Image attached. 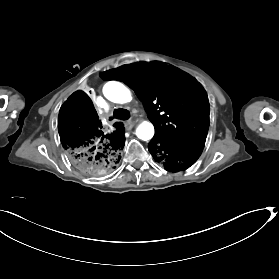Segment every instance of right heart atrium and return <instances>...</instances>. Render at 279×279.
<instances>
[{"instance_id":"obj_1","label":"right heart atrium","mask_w":279,"mask_h":279,"mask_svg":"<svg viewBox=\"0 0 279 279\" xmlns=\"http://www.w3.org/2000/svg\"><path fill=\"white\" fill-rule=\"evenodd\" d=\"M142 132H143V133H146V132H147V129H146V128H145V129H143V130H142Z\"/></svg>"}]
</instances>
